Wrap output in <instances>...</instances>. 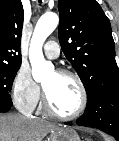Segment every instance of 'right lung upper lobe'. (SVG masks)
Returning a JSON list of instances; mask_svg holds the SVG:
<instances>
[{
  "mask_svg": "<svg viewBox=\"0 0 119 141\" xmlns=\"http://www.w3.org/2000/svg\"><path fill=\"white\" fill-rule=\"evenodd\" d=\"M23 6L20 0H0V65H21Z\"/></svg>",
  "mask_w": 119,
  "mask_h": 141,
  "instance_id": "obj_1",
  "label": "right lung upper lobe"
}]
</instances>
